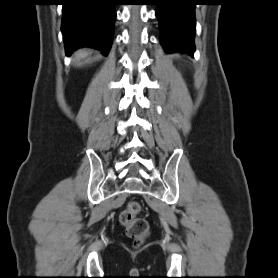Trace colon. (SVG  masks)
Listing matches in <instances>:
<instances>
[{
	"instance_id": "obj_1",
	"label": "colon",
	"mask_w": 278,
	"mask_h": 278,
	"mask_svg": "<svg viewBox=\"0 0 278 278\" xmlns=\"http://www.w3.org/2000/svg\"><path fill=\"white\" fill-rule=\"evenodd\" d=\"M141 206L137 201H130L120 215L121 224L128 235L137 241L144 239L149 232L148 222L138 217Z\"/></svg>"
}]
</instances>
